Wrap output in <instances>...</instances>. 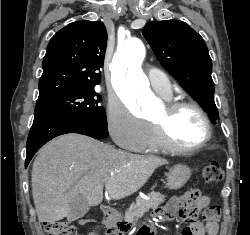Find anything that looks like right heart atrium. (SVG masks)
<instances>
[{
	"label": "right heart atrium",
	"mask_w": 250,
	"mask_h": 235,
	"mask_svg": "<svg viewBox=\"0 0 250 235\" xmlns=\"http://www.w3.org/2000/svg\"><path fill=\"white\" fill-rule=\"evenodd\" d=\"M106 121L113 141L126 150L140 151L148 139L149 125L120 101L109 102Z\"/></svg>",
	"instance_id": "1"
}]
</instances>
